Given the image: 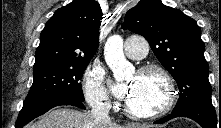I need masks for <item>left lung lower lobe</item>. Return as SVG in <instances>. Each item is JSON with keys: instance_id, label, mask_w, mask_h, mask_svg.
<instances>
[{"instance_id": "obj_1", "label": "left lung lower lobe", "mask_w": 221, "mask_h": 128, "mask_svg": "<svg viewBox=\"0 0 221 128\" xmlns=\"http://www.w3.org/2000/svg\"><path fill=\"white\" fill-rule=\"evenodd\" d=\"M176 117L191 118L200 124L203 128H221L220 115L218 117V114H216L213 106L203 104L190 105L179 111L172 112V114H169L164 118L155 121L154 123L162 124Z\"/></svg>"}]
</instances>
